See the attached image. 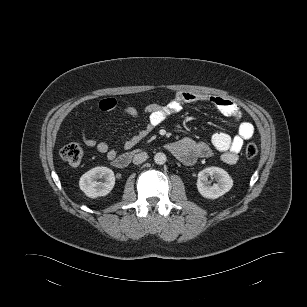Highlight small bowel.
Returning <instances> with one entry per match:
<instances>
[{
  "instance_id": "c3829d8e",
  "label": "small bowel",
  "mask_w": 307,
  "mask_h": 307,
  "mask_svg": "<svg viewBox=\"0 0 307 307\" xmlns=\"http://www.w3.org/2000/svg\"><path fill=\"white\" fill-rule=\"evenodd\" d=\"M189 104L212 106L224 116L232 117L238 122L237 134L231 136L226 132L218 131L212 135L210 143L185 137L168 143L166 149L186 165L195 163L199 158L211 156L213 150L222 153L221 158L225 163L229 165L235 164L244 142L249 140L254 134L253 124L243 120L241 109L233 101L222 97L187 91L178 92L166 104L151 103L145 106L143 112L147 116V123L135 135L124 142V148L131 149L134 147L151 133L153 129L161 125L168 116L180 112L185 105ZM116 107L117 102L113 98L102 100L99 104V108L103 112L114 111ZM123 112L130 118H137L140 115L139 109L130 105L124 107ZM82 141L87 147L95 148L99 153L104 154L112 163L118 157L117 151L110 148L107 142L97 141L88 135L85 129L82 131Z\"/></svg>"
}]
</instances>
